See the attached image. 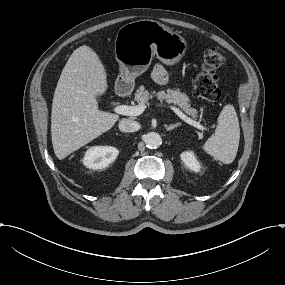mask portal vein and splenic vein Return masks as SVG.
<instances>
[{
	"mask_svg": "<svg viewBox=\"0 0 285 285\" xmlns=\"http://www.w3.org/2000/svg\"><path fill=\"white\" fill-rule=\"evenodd\" d=\"M161 106V105H159ZM175 113L186 123L192 125L193 127H196L200 131H209V129L203 125L200 124V122H197L195 120H192L188 116H186L182 111H180L177 108H174ZM113 112L120 115H129V116H138L143 112L142 106H127V105H118L113 108Z\"/></svg>",
	"mask_w": 285,
	"mask_h": 285,
	"instance_id": "obj_1",
	"label": "portal vein and splenic vein"
}]
</instances>
